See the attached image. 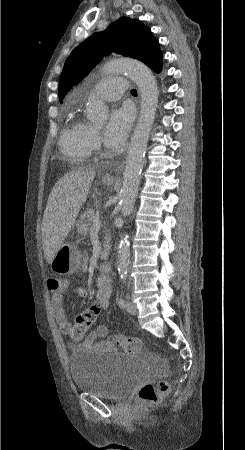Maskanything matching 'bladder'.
<instances>
[{
	"mask_svg": "<svg viewBox=\"0 0 245 450\" xmlns=\"http://www.w3.org/2000/svg\"><path fill=\"white\" fill-rule=\"evenodd\" d=\"M78 392L119 400L145 378V367L136 355L84 350L69 360Z\"/></svg>",
	"mask_w": 245,
	"mask_h": 450,
	"instance_id": "1",
	"label": "bladder"
}]
</instances>
